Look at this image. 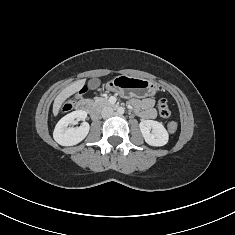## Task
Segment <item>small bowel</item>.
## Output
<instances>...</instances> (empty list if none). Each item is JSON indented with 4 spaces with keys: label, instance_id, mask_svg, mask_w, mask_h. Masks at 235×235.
I'll return each mask as SVG.
<instances>
[{
    "label": "small bowel",
    "instance_id": "small-bowel-1",
    "mask_svg": "<svg viewBox=\"0 0 235 235\" xmlns=\"http://www.w3.org/2000/svg\"><path fill=\"white\" fill-rule=\"evenodd\" d=\"M138 115L143 119H154L156 112L154 110V100L152 98L133 99L131 101Z\"/></svg>",
    "mask_w": 235,
    "mask_h": 235
}]
</instances>
